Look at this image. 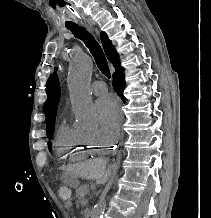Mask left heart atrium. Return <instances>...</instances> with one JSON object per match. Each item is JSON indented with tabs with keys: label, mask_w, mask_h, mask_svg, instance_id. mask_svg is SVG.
Returning a JSON list of instances; mask_svg holds the SVG:
<instances>
[{
	"label": "left heart atrium",
	"mask_w": 211,
	"mask_h": 218,
	"mask_svg": "<svg viewBox=\"0 0 211 218\" xmlns=\"http://www.w3.org/2000/svg\"><path fill=\"white\" fill-rule=\"evenodd\" d=\"M96 111L102 130L113 136L120 127L122 119L121 106L113 95H105L97 100Z\"/></svg>",
	"instance_id": "39dd6f15"
}]
</instances>
